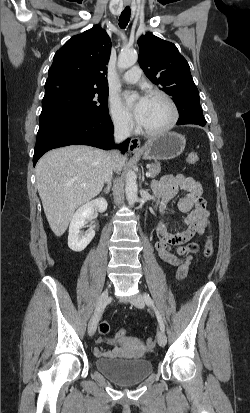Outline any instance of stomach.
I'll return each instance as SVG.
<instances>
[{
  "label": "stomach",
  "mask_w": 250,
  "mask_h": 413,
  "mask_svg": "<svg viewBox=\"0 0 250 413\" xmlns=\"http://www.w3.org/2000/svg\"><path fill=\"white\" fill-rule=\"evenodd\" d=\"M185 145V136L176 132H166L148 140L138 154L148 160H168L179 156Z\"/></svg>",
  "instance_id": "1"
}]
</instances>
